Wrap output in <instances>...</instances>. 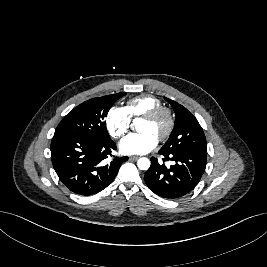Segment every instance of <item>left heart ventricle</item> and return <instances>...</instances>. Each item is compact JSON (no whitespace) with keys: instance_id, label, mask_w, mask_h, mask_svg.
Returning a JSON list of instances; mask_svg holds the SVG:
<instances>
[{"instance_id":"b2bd125f","label":"left heart ventricle","mask_w":267,"mask_h":267,"mask_svg":"<svg viewBox=\"0 0 267 267\" xmlns=\"http://www.w3.org/2000/svg\"><path fill=\"white\" fill-rule=\"evenodd\" d=\"M166 126V120L164 117H161L160 119L156 121H147V120H142L139 125L137 130L140 133H149L155 136L157 139L161 135V133L164 131Z\"/></svg>"}]
</instances>
